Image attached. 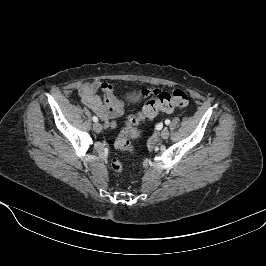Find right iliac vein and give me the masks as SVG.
<instances>
[{
	"instance_id": "obj_1",
	"label": "right iliac vein",
	"mask_w": 266,
	"mask_h": 266,
	"mask_svg": "<svg viewBox=\"0 0 266 266\" xmlns=\"http://www.w3.org/2000/svg\"><path fill=\"white\" fill-rule=\"evenodd\" d=\"M93 129H94L95 132L99 133L102 130V126H101V124L99 122H96V123L93 124Z\"/></svg>"
}]
</instances>
